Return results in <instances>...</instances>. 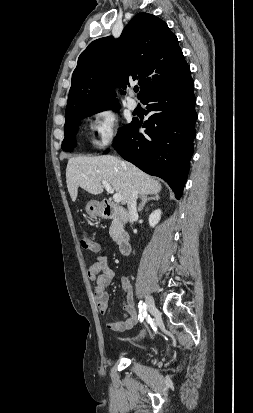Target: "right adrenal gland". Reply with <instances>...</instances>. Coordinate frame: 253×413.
<instances>
[{
    "mask_svg": "<svg viewBox=\"0 0 253 413\" xmlns=\"http://www.w3.org/2000/svg\"><path fill=\"white\" fill-rule=\"evenodd\" d=\"M150 200H159V196L157 194H155L154 196H147V195H142L141 196V203L139 204L138 207V212H141L145 206V204L150 201Z\"/></svg>",
    "mask_w": 253,
    "mask_h": 413,
    "instance_id": "1",
    "label": "right adrenal gland"
}]
</instances>
